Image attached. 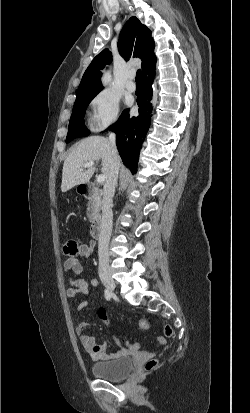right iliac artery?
<instances>
[{
	"label": "right iliac artery",
	"mask_w": 250,
	"mask_h": 413,
	"mask_svg": "<svg viewBox=\"0 0 250 413\" xmlns=\"http://www.w3.org/2000/svg\"><path fill=\"white\" fill-rule=\"evenodd\" d=\"M104 295H105V298H106L107 300H110V299H111V293L109 292V290H105V291H104Z\"/></svg>",
	"instance_id": "right-iliac-artery-1"
}]
</instances>
